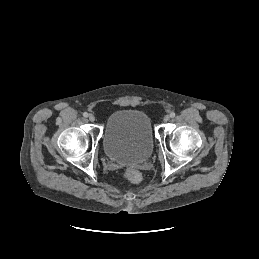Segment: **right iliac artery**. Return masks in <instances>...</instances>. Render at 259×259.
<instances>
[{
    "mask_svg": "<svg viewBox=\"0 0 259 259\" xmlns=\"http://www.w3.org/2000/svg\"><path fill=\"white\" fill-rule=\"evenodd\" d=\"M88 115H89V114H88L87 112H84V113H83V116H84V117H88Z\"/></svg>",
    "mask_w": 259,
    "mask_h": 259,
    "instance_id": "obj_1",
    "label": "right iliac artery"
}]
</instances>
